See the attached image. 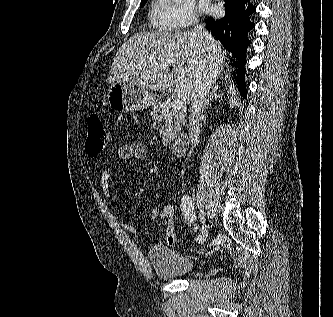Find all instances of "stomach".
Instances as JSON below:
<instances>
[{
	"instance_id": "1",
	"label": "stomach",
	"mask_w": 333,
	"mask_h": 317,
	"mask_svg": "<svg viewBox=\"0 0 333 317\" xmlns=\"http://www.w3.org/2000/svg\"><path fill=\"white\" fill-rule=\"evenodd\" d=\"M107 99L109 105L118 112L143 110L155 103V97L146 88L129 79L113 82Z\"/></svg>"
}]
</instances>
